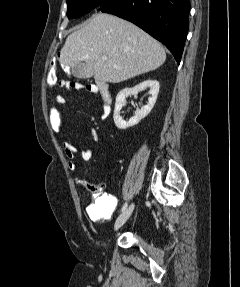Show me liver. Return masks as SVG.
Masks as SVG:
<instances>
[{
	"label": "liver",
	"instance_id": "1",
	"mask_svg": "<svg viewBox=\"0 0 240 287\" xmlns=\"http://www.w3.org/2000/svg\"><path fill=\"white\" fill-rule=\"evenodd\" d=\"M106 55L107 60L102 56ZM166 60L161 44L136 25L100 13L71 33L61 49L60 63L73 67L86 63L95 80L120 83L153 71Z\"/></svg>",
	"mask_w": 240,
	"mask_h": 287
}]
</instances>
